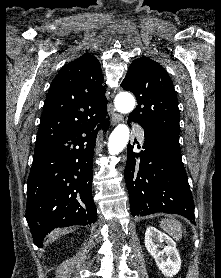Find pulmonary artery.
I'll return each instance as SVG.
<instances>
[{
  "instance_id": "obj_1",
  "label": "pulmonary artery",
  "mask_w": 221,
  "mask_h": 278,
  "mask_svg": "<svg viewBox=\"0 0 221 278\" xmlns=\"http://www.w3.org/2000/svg\"><path fill=\"white\" fill-rule=\"evenodd\" d=\"M137 131H138V135H139V139H140V141L142 142L143 141V132L140 130V129H138L137 128Z\"/></svg>"
}]
</instances>
